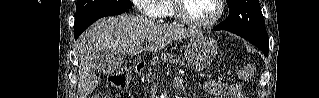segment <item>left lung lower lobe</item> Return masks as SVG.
<instances>
[{
    "mask_svg": "<svg viewBox=\"0 0 319 98\" xmlns=\"http://www.w3.org/2000/svg\"><path fill=\"white\" fill-rule=\"evenodd\" d=\"M213 29L216 31L223 30L221 27H219V25L215 26ZM248 41L254 44L255 46H257L264 53L265 56H268L269 42H261V41H255V40H248Z\"/></svg>",
    "mask_w": 319,
    "mask_h": 98,
    "instance_id": "1",
    "label": "left lung lower lobe"
}]
</instances>
